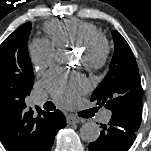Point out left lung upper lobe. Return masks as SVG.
Returning <instances> with one entry per match:
<instances>
[{"label": "left lung upper lobe", "instance_id": "left-lung-upper-lobe-1", "mask_svg": "<svg viewBox=\"0 0 151 151\" xmlns=\"http://www.w3.org/2000/svg\"><path fill=\"white\" fill-rule=\"evenodd\" d=\"M114 54L109 71L92 94L91 101L111 110L112 118L138 130L141 123L143 89L132 50L123 36L112 31Z\"/></svg>", "mask_w": 151, "mask_h": 151}]
</instances>
